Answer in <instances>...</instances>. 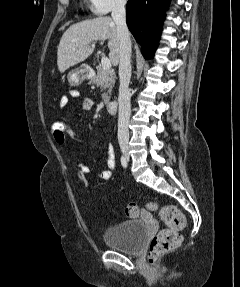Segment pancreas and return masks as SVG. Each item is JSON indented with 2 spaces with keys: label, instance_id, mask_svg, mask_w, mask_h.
<instances>
[{
  "label": "pancreas",
  "instance_id": "obj_1",
  "mask_svg": "<svg viewBox=\"0 0 240 287\" xmlns=\"http://www.w3.org/2000/svg\"><path fill=\"white\" fill-rule=\"evenodd\" d=\"M115 79H116L115 72L110 69L109 70L104 69L102 65H99L97 67V75L91 78V82L93 84L100 86V89L102 91L105 90V92L102 94V100L105 104H107L110 100V94L112 88L114 87Z\"/></svg>",
  "mask_w": 240,
  "mask_h": 287
}]
</instances>
